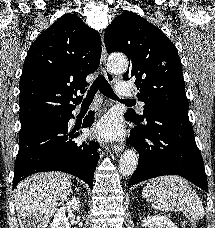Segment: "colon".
Segmentation results:
<instances>
[{
	"instance_id": "obj_1",
	"label": "colon",
	"mask_w": 215,
	"mask_h": 228,
	"mask_svg": "<svg viewBox=\"0 0 215 228\" xmlns=\"http://www.w3.org/2000/svg\"><path fill=\"white\" fill-rule=\"evenodd\" d=\"M188 228H194V226L191 225V226H189Z\"/></svg>"
}]
</instances>
